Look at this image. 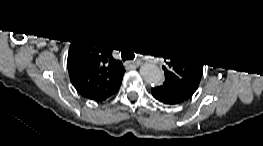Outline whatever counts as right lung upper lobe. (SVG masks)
Instances as JSON below:
<instances>
[{"mask_svg":"<svg viewBox=\"0 0 263 146\" xmlns=\"http://www.w3.org/2000/svg\"><path fill=\"white\" fill-rule=\"evenodd\" d=\"M112 52L94 27L82 28L72 38L67 67L71 83L83 97L99 102L119 89L125 70Z\"/></svg>","mask_w":263,"mask_h":146,"instance_id":"right-lung-upper-lobe-1","label":"right lung upper lobe"}]
</instances>
